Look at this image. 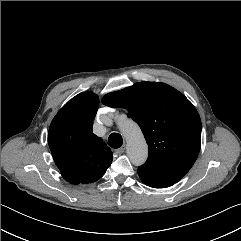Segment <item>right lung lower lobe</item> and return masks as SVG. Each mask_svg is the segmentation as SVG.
Segmentation results:
<instances>
[{
	"instance_id": "1",
	"label": "right lung lower lobe",
	"mask_w": 241,
	"mask_h": 241,
	"mask_svg": "<svg viewBox=\"0 0 241 241\" xmlns=\"http://www.w3.org/2000/svg\"><path fill=\"white\" fill-rule=\"evenodd\" d=\"M64 179H65L66 181L72 183V184H76V183L74 182V180H72L71 178H69V177H67V176L64 177Z\"/></svg>"
}]
</instances>
